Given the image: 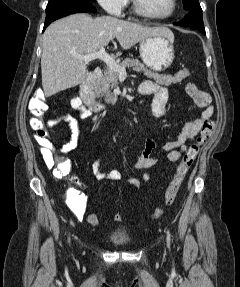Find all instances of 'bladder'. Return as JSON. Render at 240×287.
Here are the masks:
<instances>
[{
    "instance_id": "bladder-1",
    "label": "bladder",
    "mask_w": 240,
    "mask_h": 287,
    "mask_svg": "<svg viewBox=\"0 0 240 287\" xmlns=\"http://www.w3.org/2000/svg\"><path fill=\"white\" fill-rule=\"evenodd\" d=\"M109 240L120 246L128 245L131 241L128 233L123 229H116L109 235Z\"/></svg>"
}]
</instances>
